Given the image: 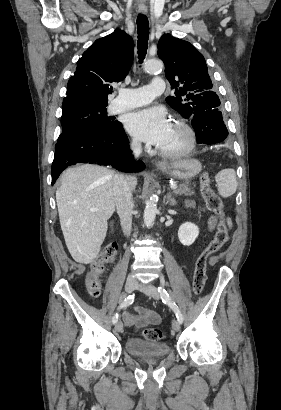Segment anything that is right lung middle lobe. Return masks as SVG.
Instances as JSON below:
<instances>
[{"instance_id": "obj_1", "label": "right lung middle lobe", "mask_w": 281, "mask_h": 410, "mask_svg": "<svg viewBox=\"0 0 281 410\" xmlns=\"http://www.w3.org/2000/svg\"><path fill=\"white\" fill-rule=\"evenodd\" d=\"M106 106L88 103L62 106V133L58 141L81 132H104L116 129L121 123L107 117Z\"/></svg>"}]
</instances>
